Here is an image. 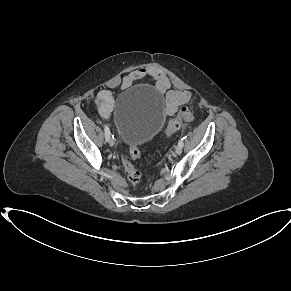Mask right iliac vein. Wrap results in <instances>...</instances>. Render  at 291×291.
Returning a JSON list of instances; mask_svg holds the SVG:
<instances>
[{"mask_svg":"<svg viewBox=\"0 0 291 291\" xmlns=\"http://www.w3.org/2000/svg\"><path fill=\"white\" fill-rule=\"evenodd\" d=\"M108 142H109V144H110L111 146H114V145H115V141H114V139H113L111 136L109 137Z\"/></svg>","mask_w":291,"mask_h":291,"instance_id":"63e3f726","label":"right iliac vein"}]
</instances>
